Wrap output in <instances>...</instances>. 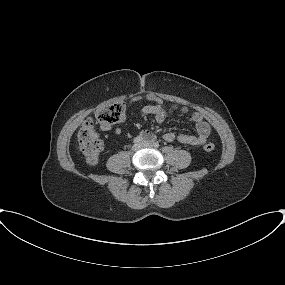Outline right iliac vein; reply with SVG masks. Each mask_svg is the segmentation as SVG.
Segmentation results:
<instances>
[{
    "label": "right iliac vein",
    "mask_w": 285,
    "mask_h": 285,
    "mask_svg": "<svg viewBox=\"0 0 285 285\" xmlns=\"http://www.w3.org/2000/svg\"><path fill=\"white\" fill-rule=\"evenodd\" d=\"M142 147V144L138 143V144H134L132 147L133 151H138L140 148Z\"/></svg>",
    "instance_id": "63e3f726"
}]
</instances>
